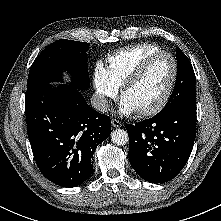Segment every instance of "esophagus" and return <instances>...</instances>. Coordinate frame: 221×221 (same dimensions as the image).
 <instances>
[{"mask_svg":"<svg viewBox=\"0 0 221 221\" xmlns=\"http://www.w3.org/2000/svg\"><path fill=\"white\" fill-rule=\"evenodd\" d=\"M111 122H112L113 127H115V128H119L122 126V123L114 118L112 119Z\"/></svg>","mask_w":221,"mask_h":221,"instance_id":"obj_1","label":"esophagus"}]
</instances>
